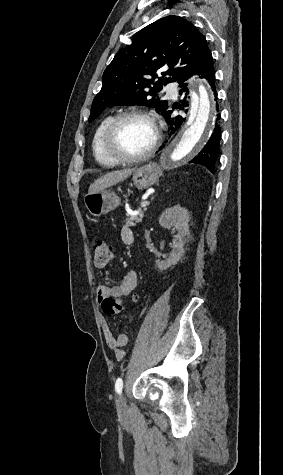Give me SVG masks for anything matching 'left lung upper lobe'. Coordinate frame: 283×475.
<instances>
[{
    "instance_id": "1",
    "label": "left lung upper lobe",
    "mask_w": 283,
    "mask_h": 475,
    "mask_svg": "<svg viewBox=\"0 0 283 475\" xmlns=\"http://www.w3.org/2000/svg\"><path fill=\"white\" fill-rule=\"evenodd\" d=\"M211 55L204 35L191 22L175 15L155 21L137 32L132 44L120 49L104 71L102 89L93 100L89 121L112 105H145L164 114L168 102L157 92ZM178 63L179 67L174 68ZM158 70L162 71L161 77L156 74Z\"/></svg>"
}]
</instances>
